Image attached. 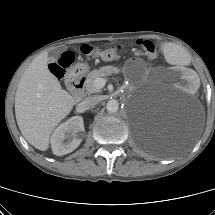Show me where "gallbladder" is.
Returning a JSON list of instances; mask_svg holds the SVG:
<instances>
[{
    "label": "gallbladder",
    "instance_id": "gallbladder-1",
    "mask_svg": "<svg viewBox=\"0 0 215 215\" xmlns=\"http://www.w3.org/2000/svg\"><path fill=\"white\" fill-rule=\"evenodd\" d=\"M66 50L65 47H58L49 53V59H57Z\"/></svg>",
    "mask_w": 215,
    "mask_h": 215
}]
</instances>
